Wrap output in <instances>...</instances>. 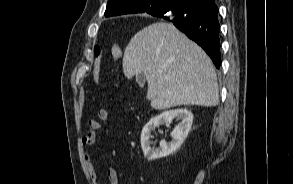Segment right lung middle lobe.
Instances as JSON below:
<instances>
[{
    "instance_id": "obj_1",
    "label": "right lung middle lobe",
    "mask_w": 293,
    "mask_h": 184,
    "mask_svg": "<svg viewBox=\"0 0 293 184\" xmlns=\"http://www.w3.org/2000/svg\"><path fill=\"white\" fill-rule=\"evenodd\" d=\"M169 6L168 0H156L152 3L154 11H162Z\"/></svg>"
}]
</instances>
